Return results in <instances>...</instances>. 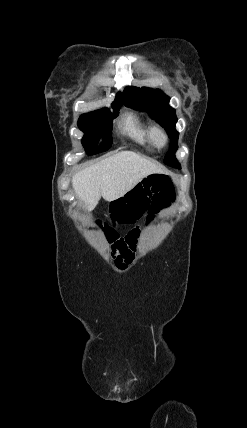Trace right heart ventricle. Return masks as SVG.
Returning a JSON list of instances; mask_svg holds the SVG:
<instances>
[{
    "mask_svg": "<svg viewBox=\"0 0 247 428\" xmlns=\"http://www.w3.org/2000/svg\"><path fill=\"white\" fill-rule=\"evenodd\" d=\"M125 127L128 135L138 144L152 148L155 143L152 138L151 128L147 126L137 115L128 114L125 119Z\"/></svg>",
    "mask_w": 247,
    "mask_h": 428,
    "instance_id": "obj_1",
    "label": "right heart ventricle"
}]
</instances>
